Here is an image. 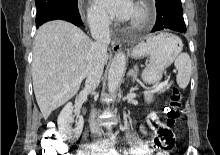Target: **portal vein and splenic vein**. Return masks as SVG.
<instances>
[{"instance_id": "18ae733b", "label": "portal vein and splenic vein", "mask_w": 220, "mask_h": 155, "mask_svg": "<svg viewBox=\"0 0 220 155\" xmlns=\"http://www.w3.org/2000/svg\"><path fill=\"white\" fill-rule=\"evenodd\" d=\"M166 82H161L157 85V87L153 90V92H156L160 89H162L165 86Z\"/></svg>"}]
</instances>
